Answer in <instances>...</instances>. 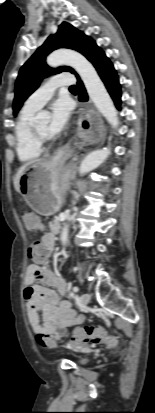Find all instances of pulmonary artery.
Instances as JSON below:
<instances>
[{"mask_svg":"<svg viewBox=\"0 0 155 413\" xmlns=\"http://www.w3.org/2000/svg\"><path fill=\"white\" fill-rule=\"evenodd\" d=\"M74 82L75 78L70 73H61L51 77L27 99L25 106L38 110L53 96L59 86L72 85Z\"/></svg>","mask_w":155,"mask_h":413,"instance_id":"1","label":"pulmonary artery"}]
</instances>
